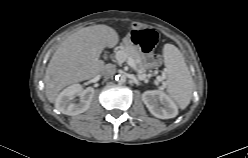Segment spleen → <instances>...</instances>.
Returning <instances> with one entry per match:
<instances>
[{"mask_svg": "<svg viewBox=\"0 0 248 158\" xmlns=\"http://www.w3.org/2000/svg\"><path fill=\"white\" fill-rule=\"evenodd\" d=\"M163 56L168 82L167 93L181 109H185L191 101L194 89L192 76L176 46L165 44Z\"/></svg>", "mask_w": 248, "mask_h": 158, "instance_id": "3e777b00", "label": "spleen"}]
</instances>
